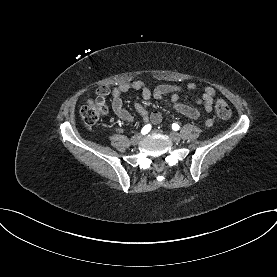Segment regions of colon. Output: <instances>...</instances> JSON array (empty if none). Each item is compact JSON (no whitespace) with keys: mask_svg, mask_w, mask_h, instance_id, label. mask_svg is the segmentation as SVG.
Here are the masks:
<instances>
[{"mask_svg":"<svg viewBox=\"0 0 277 277\" xmlns=\"http://www.w3.org/2000/svg\"><path fill=\"white\" fill-rule=\"evenodd\" d=\"M108 111L104 99L94 97L89 99L81 109V118L84 124L92 126L96 124L101 117ZM215 111L219 118L227 119L231 115V110L228 103L223 99H218L215 105Z\"/></svg>","mask_w":277,"mask_h":277,"instance_id":"5ec220e1","label":"colon"}]
</instances>
